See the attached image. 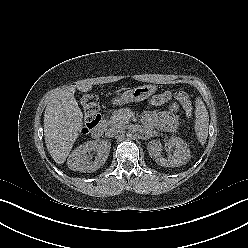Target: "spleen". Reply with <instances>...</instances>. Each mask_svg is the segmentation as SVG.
<instances>
[{
    "label": "spleen",
    "mask_w": 248,
    "mask_h": 248,
    "mask_svg": "<svg viewBox=\"0 0 248 248\" xmlns=\"http://www.w3.org/2000/svg\"><path fill=\"white\" fill-rule=\"evenodd\" d=\"M209 115L203 101L200 98L196 99L195 109V132L198 141L203 145L208 137Z\"/></svg>",
    "instance_id": "3e777b00"
}]
</instances>
